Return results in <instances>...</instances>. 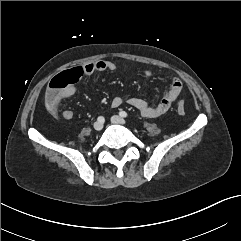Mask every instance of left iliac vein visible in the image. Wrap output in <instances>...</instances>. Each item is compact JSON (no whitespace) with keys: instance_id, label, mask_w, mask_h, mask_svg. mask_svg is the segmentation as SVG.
Returning <instances> with one entry per match:
<instances>
[{"instance_id":"left-iliac-vein-1","label":"left iliac vein","mask_w":241,"mask_h":241,"mask_svg":"<svg viewBox=\"0 0 241 241\" xmlns=\"http://www.w3.org/2000/svg\"><path fill=\"white\" fill-rule=\"evenodd\" d=\"M111 122L114 124H120V125L126 124V121L122 117L117 116V115H114L111 117Z\"/></svg>"}]
</instances>
